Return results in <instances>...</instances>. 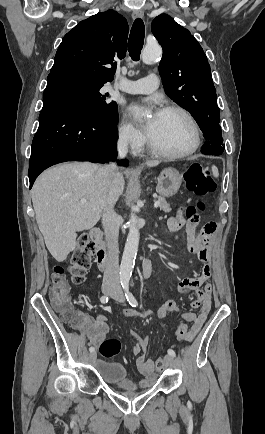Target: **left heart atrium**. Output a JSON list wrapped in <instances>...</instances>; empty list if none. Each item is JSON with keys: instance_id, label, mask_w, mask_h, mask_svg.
<instances>
[{"instance_id": "obj_1", "label": "left heart atrium", "mask_w": 265, "mask_h": 434, "mask_svg": "<svg viewBox=\"0 0 265 434\" xmlns=\"http://www.w3.org/2000/svg\"><path fill=\"white\" fill-rule=\"evenodd\" d=\"M142 109H143V107L138 106V105H134V106L131 107V112H132L133 115H136ZM152 111H153L152 117H151V119L149 120V122L145 126L146 133H147V135L149 137L153 134V132L155 130V127L157 125V122L159 120V117L161 115V112L159 110H157L156 108H154V107H152Z\"/></svg>"}]
</instances>
